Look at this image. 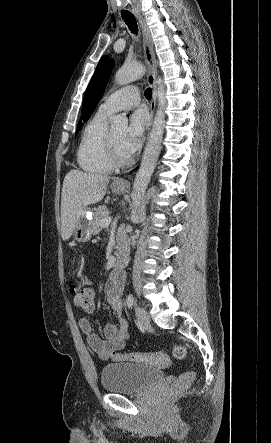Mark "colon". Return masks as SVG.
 Segmentation results:
<instances>
[{
  "label": "colon",
  "mask_w": 271,
  "mask_h": 443,
  "mask_svg": "<svg viewBox=\"0 0 271 443\" xmlns=\"http://www.w3.org/2000/svg\"><path fill=\"white\" fill-rule=\"evenodd\" d=\"M70 293L73 298L75 306L91 312L94 309L95 290L90 283L80 282L74 284L70 288ZM188 355V351L184 346L176 345L173 348V356L177 359H184ZM111 359L117 362H134L144 363L158 367H168L170 365V358L165 352L154 353H118L114 352ZM195 378L194 371H186L180 374L174 382L170 385L165 393V398L168 401L183 393L191 385Z\"/></svg>",
  "instance_id": "1"
}]
</instances>
